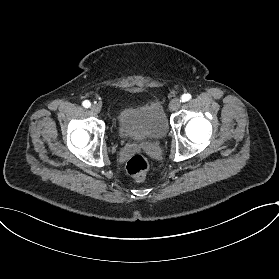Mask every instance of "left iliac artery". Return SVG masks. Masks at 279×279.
<instances>
[{
  "label": "left iliac artery",
  "instance_id": "44dca946",
  "mask_svg": "<svg viewBox=\"0 0 279 279\" xmlns=\"http://www.w3.org/2000/svg\"><path fill=\"white\" fill-rule=\"evenodd\" d=\"M191 99V95L189 93H186V94H183L181 96V101L182 102H186V101H189Z\"/></svg>",
  "mask_w": 279,
  "mask_h": 279
}]
</instances>
